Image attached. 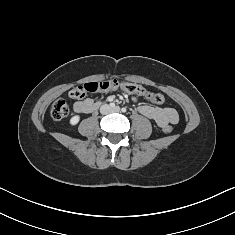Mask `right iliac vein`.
I'll use <instances>...</instances> for the list:
<instances>
[{
  "label": "right iliac vein",
  "instance_id": "right-iliac-vein-1",
  "mask_svg": "<svg viewBox=\"0 0 235 235\" xmlns=\"http://www.w3.org/2000/svg\"><path fill=\"white\" fill-rule=\"evenodd\" d=\"M105 109H107V110H108V109H109V107H108L107 105H105Z\"/></svg>",
  "mask_w": 235,
  "mask_h": 235
}]
</instances>
